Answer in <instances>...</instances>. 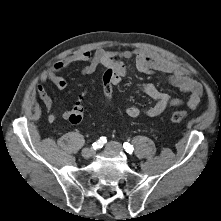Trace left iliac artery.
Returning <instances> with one entry per match:
<instances>
[{
  "label": "left iliac artery",
  "mask_w": 221,
  "mask_h": 221,
  "mask_svg": "<svg viewBox=\"0 0 221 221\" xmlns=\"http://www.w3.org/2000/svg\"><path fill=\"white\" fill-rule=\"evenodd\" d=\"M124 149L126 150L127 153L131 154L134 150V148L132 147V145H130L128 142H125L123 144Z\"/></svg>",
  "instance_id": "left-iliac-artery-1"
}]
</instances>
